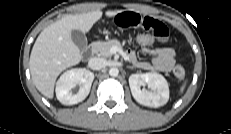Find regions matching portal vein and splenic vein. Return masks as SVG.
<instances>
[{
    "label": "portal vein and splenic vein",
    "instance_id": "obj_1",
    "mask_svg": "<svg viewBox=\"0 0 231 134\" xmlns=\"http://www.w3.org/2000/svg\"><path fill=\"white\" fill-rule=\"evenodd\" d=\"M119 51V48H117V47H112L111 49H110V52L113 54V53H116V52H118Z\"/></svg>",
    "mask_w": 231,
    "mask_h": 134
}]
</instances>
